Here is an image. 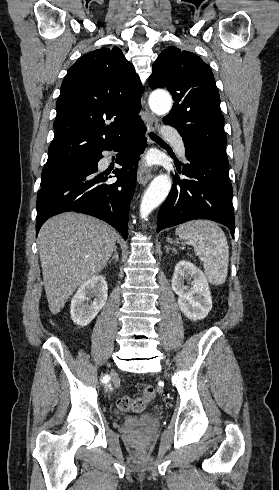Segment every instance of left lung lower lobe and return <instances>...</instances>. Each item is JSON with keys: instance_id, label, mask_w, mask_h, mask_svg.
<instances>
[{"instance_id": "1", "label": "left lung lower lobe", "mask_w": 279, "mask_h": 490, "mask_svg": "<svg viewBox=\"0 0 279 490\" xmlns=\"http://www.w3.org/2000/svg\"><path fill=\"white\" fill-rule=\"evenodd\" d=\"M186 164L177 166L167 199L158 215L157 232L190 220L209 219L227 226L234 238L235 216L226 153L201 142H186Z\"/></svg>"}]
</instances>
